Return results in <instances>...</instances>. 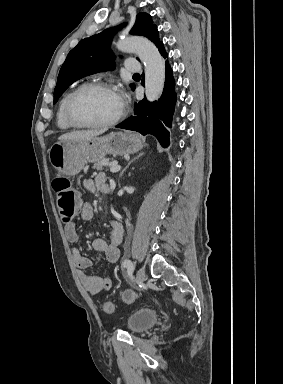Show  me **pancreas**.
<instances>
[{
  "mask_svg": "<svg viewBox=\"0 0 283 384\" xmlns=\"http://www.w3.org/2000/svg\"><path fill=\"white\" fill-rule=\"evenodd\" d=\"M112 162L109 164V160H101V162H97V164H94L93 168L94 170H97V172H102L104 170V166H111Z\"/></svg>",
  "mask_w": 283,
  "mask_h": 384,
  "instance_id": "pancreas-1",
  "label": "pancreas"
}]
</instances>
